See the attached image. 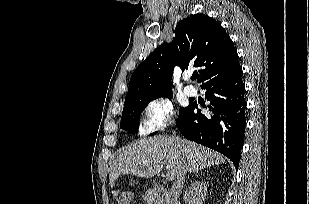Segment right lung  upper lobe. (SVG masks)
Segmentation results:
<instances>
[{
	"instance_id": "right-lung-upper-lobe-1",
	"label": "right lung upper lobe",
	"mask_w": 309,
	"mask_h": 204,
	"mask_svg": "<svg viewBox=\"0 0 309 204\" xmlns=\"http://www.w3.org/2000/svg\"><path fill=\"white\" fill-rule=\"evenodd\" d=\"M175 38L155 49L133 72L125 101L171 93L176 65L184 71L199 68V82L229 73L239 65L234 44L221 24L205 14L185 18L175 28Z\"/></svg>"
}]
</instances>
